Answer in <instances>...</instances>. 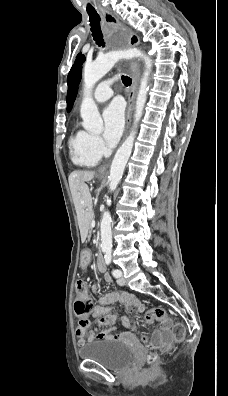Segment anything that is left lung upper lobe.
I'll return each instance as SVG.
<instances>
[{
    "mask_svg": "<svg viewBox=\"0 0 228 396\" xmlns=\"http://www.w3.org/2000/svg\"><path fill=\"white\" fill-rule=\"evenodd\" d=\"M85 61V57L79 53L76 56V61L72 66L68 77H67V84H68V91H67V111H71L73 102L75 101L77 92H78V85L81 80L82 76V64Z\"/></svg>",
    "mask_w": 228,
    "mask_h": 396,
    "instance_id": "left-lung-upper-lobe-1",
    "label": "left lung upper lobe"
}]
</instances>
